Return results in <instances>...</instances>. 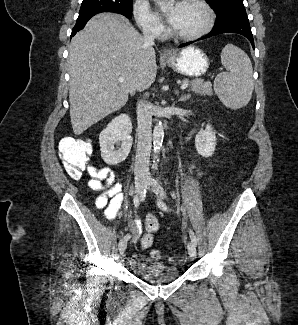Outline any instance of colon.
Segmentation results:
<instances>
[{
  "instance_id": "colon-1",
  "label": "colon",
  "mask_w": 298,
  "mask_h": 325,
  "mask_svg": "<svg viewBox=\"0 0 298 325\" xmlns=\"http://www.w3.org/2000/svg\"><path fill=\"white\" fill-rule=\"evenodd\" d=\"M62 158L67 173L74 179H79L85 171L89 172L94 168L89 163L90 147L86 142H83L78 149L70 147L66 148L62 153ZM144 225L147 234L142 237L141 244L144 248H149L151 247L153 240L151 235L158 231L159 222L154 215L149 214L145 217ZM152 256L155 259H158L161 255L158 251L153 250Z\"/></svg>"
}]
</instances>
